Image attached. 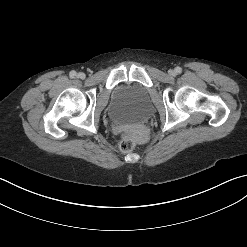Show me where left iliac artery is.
Returning a JSON list of instances; mask_svg holds the SVG:
<instances>
[{"mask_svg":"<svg viewBox=\"0 0 247 247\" xmlns=\"http://www.w3.org/2000/svg\"><path fill=\"white\" fill-rule=\"evenodd\" d=\"M175 71H176L177 73H181V72H182V69H181L180 67H177V68H175Z\"/></svg>","mask_w":247,"mask_h":247,"instance_id":"1","label":"left iliac artery"}]
</instances>
